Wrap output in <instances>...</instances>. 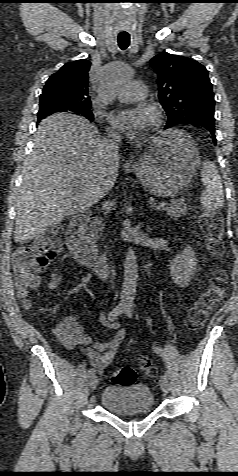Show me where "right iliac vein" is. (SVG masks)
<instances>
[{
  "label": "right iliac vein",
  "instance_id": "obj_1",
  "mask_svg": "<svg viewBox=\"0 0 238 476\" xmlns=\"http://www.w3.org/2000/svg\"><path fill=\"white\" fill-rule=\"evenodd\" d=\"M97 384L98 377L96 375L91 376L88 381L89 390L92 392L96 388Z\"/></svg>",
  "mask_w": 238,
  "mask_h": 476
}]
</instances>
